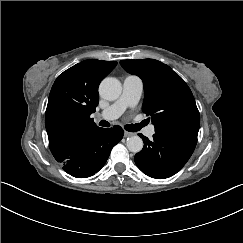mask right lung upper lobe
Instances as JSON below:
<instances>
[{
  "instance_id": "obj_1",
  "label": "right lung upper lobe",
  "mask_w": 243,
  "mask_h": 243,
  "mask_svg": "<svg viewBox=\"0 0 243 243\" xmlns=\"http://www.w3.org/2000/svg\"><path fill=\"white\" fill-rule=\"evenodd\" d=\"M115 61L84 60L61 73L48 99L45 126L50 150L58 162L63 154L96 126L90 115L99 102L98 86Z\"/></svg>"
}]
</instances>
